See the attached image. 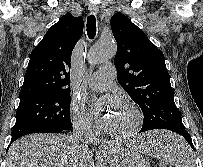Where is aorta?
I'll use <instances>...</instances> for the list:
<instances>
[{"label":"aorta","mask_w":203,"mask_h":167,"mask_svg":"<svg viewBox=\"0 0 203 167\" xmlns=\"http://www.w3.org/2000/svg\"><path fill=\"white\" fill-rule=\"evenodd\" d=\"M117 51V45L113 39H100L89 51L87 61L90 65H96L113 58Z\"/></svg>","instance_id":"762f6f07"}]
</instances>
